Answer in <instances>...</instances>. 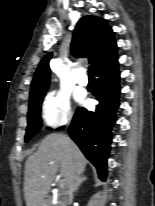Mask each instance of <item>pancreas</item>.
Segmentation results:
<instances>
[{"mask_svg":"<svg viewBox=\"0 0 155 206\" xmlns=\"http://www.w3.org/2000/svg\"><path fill=\"white\" fill-rule=\"evenodd\" d=\"M57 206H66V203L63 199L58 198L57 199Z\"/></svg>","mask_w":155,"mask_h":206,"instance_id":"1","label":"pancreas"}]
</instances>
